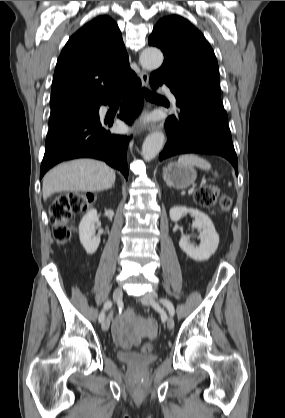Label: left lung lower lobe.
Instances as JSON below:
<instances>
[{"label":"left lung lower lobe","instance_id":"obj_1","mask_svg":"<svg viewBox=\"0 0 285 418\" xmlns=\"http://www.w3.org/2000/svg\"><path fill=\"white\" fill-rule=\"evenodd\" d=\"M163 83L160 78L150 77L153 89ZM176 101L179 109L176 115L165 121L167 142L159 160L184 153L215 154L229 160L238 174L237 156L225 110L199 100L176 97Z\"/></svg>","mask_w":285,"mask_h":418}]
</instances>
